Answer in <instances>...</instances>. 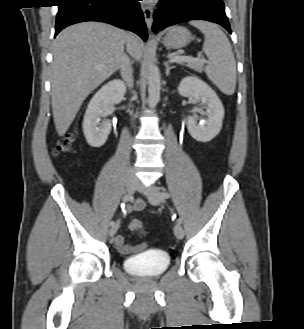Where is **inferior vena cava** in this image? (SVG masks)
I'll list each match as a JSON object with an SVG mask.
<instances>
[{"label":"inferior vena cava","mask_w":304,"mask_h":329,"mask_svg":"<svg viewBox=\"0 0 304 329\" xmlns=\"http://www.w3.org/2000/svg\"><path fill=\"white\" fill-rule=\"evenodd\" d=\"M119 68H120V73H121V76H122L124 82L126 83V85L129 88H132L133 87V75H132L133 72H132L130 60L126 54L122 55Z\"/></svg>","instance_id":"obj_1"}]
</instances>
